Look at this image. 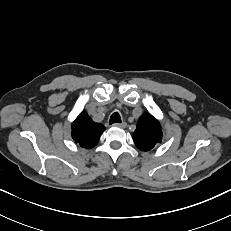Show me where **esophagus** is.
Wrapping results in <instances>:
<instances>
[{"instance_id": "34e87169", "label": "esophagus", "mask_w": 231, "mask_h": 231, "mask_svg": "<svg viewBox=\"0 0 231 231\" xmlns=\"http://www.w3.org/2000/svg\"><path fill=\"white\" fill-rule=\"evenodd\" d=\"M114 127H119V128H125L126 127V123L122 122V123H115L113 124Z\"/></svg>"}]
</instances>
